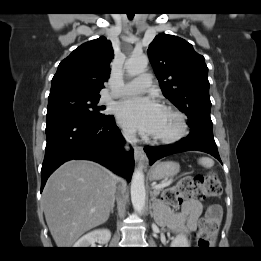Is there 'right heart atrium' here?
<instances>
[{
	"label": "right heart atrium",
	"instance_id": "d8ad5b80",
	"mask_svg": "<svg viewBox=\"0 0 261 261\" xmlns=\"http://www.w3.org/2000/svg\"><path fill=\"white\" fill-rule=\"evenodd\" d=\"M124 136L127 138V139H131L132 138V134L128 131H124Z\"/></svg>",
	"mask_w": 261,
	"mask_h": 261
}]
</instances>
